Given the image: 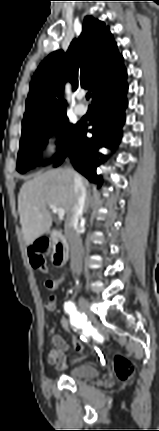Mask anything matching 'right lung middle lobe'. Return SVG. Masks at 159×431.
Wrapping results in <instances>:
<instances>
[{
	"label": "right lung middle lobe",
	"mask_w": 159,
	"mask_h": 431,
	"mask_svg": "<svg viewBox=\"0 0 159 431\" xmlns=\"http://www.w3.org/2000/svg\"><path fill=\"white\" fill-rule=\"evenodd\" d=\"M78 125L79 122L76 124L69 123L64 112L22 131L17 171L25 173L36 164H39L40 153L47 144L48 138L54 134L59 133L65 136L58 142L59 150H61L76 131Z\"/></svg>",
	"instance_id": "obj_1"
}]
</instances>
